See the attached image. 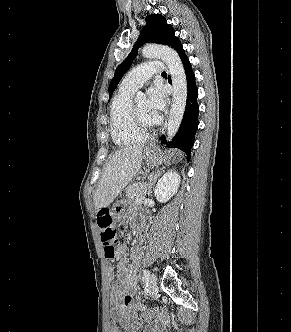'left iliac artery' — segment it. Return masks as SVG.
Masks as SVG:
<instances>
[{"instance_id":"obj_1","label":"left iliac artery","mask_w":291,"mask_h":332,"mask_svg":"<svg viewBox=\"0 0 291 332\" xmlns=\"http://www.w3.org/2000/svg\"><path fill=\"white\" fill-rule=\"evenodd\" d=\"M149 276H150V272H149L148 270H144V271H143V279H144L145 281H147L148 278H149Z\"/></svg>"}]
</instances>
